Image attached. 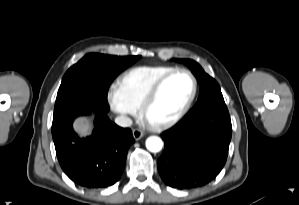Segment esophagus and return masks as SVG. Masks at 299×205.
<instances>
[{"mask_svg": "<svg viewBox=\"0 0 299 205\" xmlns=\"http://www.w3.org/2000/svg\"><path fill=\"white\" fill-rule=\"evenodd\" d=\"M133 137L135 140H139L143 137L144 133L139 129H134L132 131Z\"/></svg>", "mask_w": 299, "mask_h": 205, "instance_id": "1", "label": "esophagus"}]
</instances>
